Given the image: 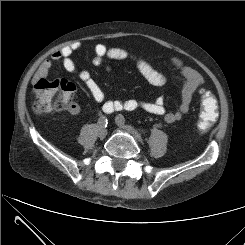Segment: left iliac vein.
<instances>
[{"label": "left iliac vein", "mask_w": 245, "mask_h": 245, "mask_svg": "<svg viewBox=\"0 0 245 245\" xmlns=\"http://www.w3.org/2000/svg\"><path fill=\"white\" fill-rule=\"evenodd\" d=\"M115 122L120 128L124 129L126 132L131 134L135 139L141 141L142 139L141 134L137 130H135L133 127L129 125H125L124 122L120 119L119 115L115 118Z\"/></svg>", "instance_id": "left-iliac-vein-1"}]
</instances>
